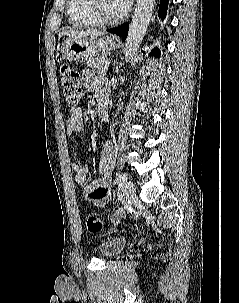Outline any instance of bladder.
I'll use <instances>...</instances> for the list:
<instances>
[{"label":"bladder","instance_id":"bladder-1","mask_svg":"<svg viewBox=\"0 0 239 303\" xmlns=\"http://www.w3.org/2000/svg\"><path fill=\"white\" fill-rule=\"evenodd\" d=\"M125 246V240L122 238H111L101 241L98 244V251L104 258H112L117 256Z\"/></svg>","mask_w":239,"mask_h":303}]
</instances>
